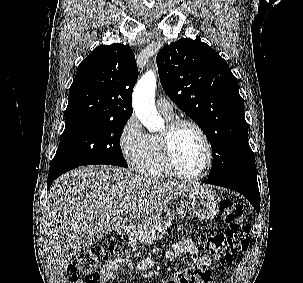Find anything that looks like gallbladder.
I'll return each mask as SVG.
<instances>
[{
	"instance_id": "bac80fb5",
	"label": "gallbladder",
	"mask_w": 303,
	"mask_h": 283,
	"mask_svg": "<svg viewBox=\"0 0 303 283\" xmlns=\"http://www.w3.org/2000/svg\"><path fill=\"white\" fill-rule=\"evenodd\" d=\"M100 240H101V236H99V235H83L78 240V250H86L92 244H94Z\"/></svg>"
}]
</instances>
